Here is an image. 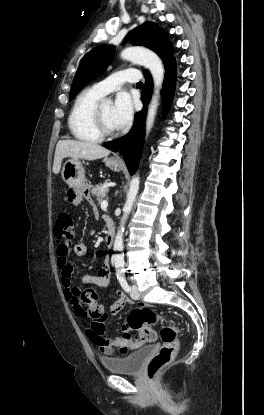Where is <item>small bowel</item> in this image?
Listing matches in <instances>:
<instances>
[{"mask_svg": "<svg viewBox=\"0 0 264 415\" xmlns=\"http://www.w3.org/2000/svg\"><path fill=\"white\" fill-rule=\"evenodd\" d=\"M93 214L95 218L98 217L99 212L96 208L93 209ZM106 217L107 216L105 215L103 216L104 220ZM69 252L70 249L65 247H61L57 251V264L62 271L61 280L64 287V297L78 316L86 318V310L81 305L82 287L75 286L72 283L71 271L73 270V265L68 259ZM87 252L88 246L86 243L80 242L75 246V253L77 256L83 257ZM80 281L82 284L94 285L98 290L108 287L111 282V265L109 258L105 257L96 275H83L81 276ZM132 303L133 301L130 297L120 294L115 301L106 305L105 310L107 314H115ZM121 330H127V325L123 324ZM85 331L87 336L94 342L104 356L111 355L115 350H119L123 354H126L140 348L144 343L143 341H138L132 344H123L117 340V337L109 341L103 339L94 340L95 333L89 326L86 327Z\"/></svg>", "mask_w": 264, "mask_h": 415, "instance_id": "obj_1", "label": "small bowel"}]
</instances>
